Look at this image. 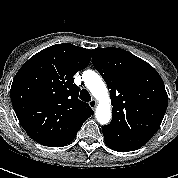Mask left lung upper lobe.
Instances as JSON below:
<instances>
[{
  "label": "left lung upper lobe",
  "instance_id": "obj_1",
  "mask_svg": "<svg viewBox=\"0 0 178 178\" xmlns=\"http://www.w3.org/2000/svg\"><path fill=\"white\" fill-rule=\"evenodd\" d=\"M93 65L104 78L112 103V121L102 127L104 140L136 150L159 129L168 95L159 73L130 52L114 47L93 49Z\"/></svg>",
  "mask_w": 178,
  "mask_h": 178
}]
</instances>
